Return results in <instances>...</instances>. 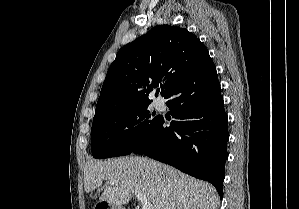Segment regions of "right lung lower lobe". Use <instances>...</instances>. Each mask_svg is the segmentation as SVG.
<instances>
[{"label":"right lung lower lobe","mask_w":299,"mask_h":209,"mask_svg":"<svg viewBox=\"0 0 299 209\" xmlns=\"http://www.w3.org/2000/svg\"><path fill=\"white\" fill-rule=\"evenodd\" d=\"M166 98L176 120L167 127L160 116L131 153L145 154L207 180L222 198L229 133L216 71L188 76Z\"/></svg>","instance_id":"98d812e1"}]
</instances>
